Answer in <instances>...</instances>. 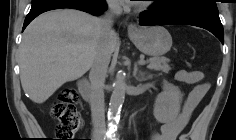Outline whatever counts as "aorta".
<instances>
[{"label":"aorta","instance_id":"aorta-1","mask_svg":"<svg viewBox=\"0 0 236 140\" xmlns=\"http://www.w3.org/2000/svg\"><path fill=\"white\" fill-rule=\"evenodd\" d=\"M125 89H126L125 78L121 75L117 76L113 84V92L111 95L108 109L109 125L110 128L113 130V132H111L110 135L113 138L116 137V134L114 132V127L116 121L120 117L121 108L125 100Z\"/></svg>","mask_w":236,"mask_h":140}]
</instances>
